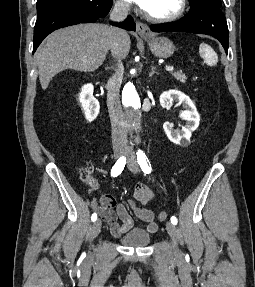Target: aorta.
Listing matches in <instances>:
<instances>
[{
	"mask_svg": "<svg viewBox=\"0 0 255 287\" xmlns=\"http://www.w3.org/2000/svg\"><path fill=\"white\" fill-rule=\"evenodd\" d=\"M122 100L125 107L131 112L133 118H137L141 109V101L133 83L125 84L122 91Z\"/></svg>",
	"mask_w": 255,
	"mask_h": 287,
	"instance_id": "aorta-1",
	"label": "aorta"
}]
</instances>
